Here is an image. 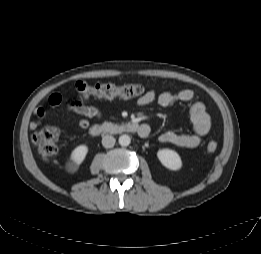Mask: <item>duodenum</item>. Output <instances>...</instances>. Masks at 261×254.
Returning a JSON list of instances; mask_svg holds the SVG:
<instances>
[{
  "mask_svg": "<svg viewBox=\"0 0 261 254\" xmlns=\"http://www.w3.org/2000/svg\"><path fill=\"white\" fill-rule=\"evenodd\" d=\"M150 127V126H149ZM149 127L139 125L136 122H126V123H103L93 125L89 133L92 136L98 135H114V134H139L140 136L144 133H149Z\"/></svg>",
  "mask_w": 261,
  "mask_h": 254,
  "instance_id": "1",
  "label": "duodenum"
}]
</instances>
